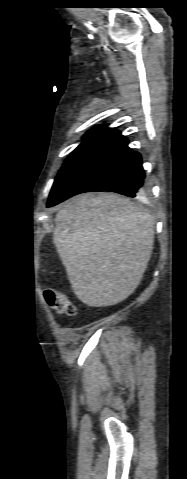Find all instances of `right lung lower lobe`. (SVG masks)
<instances>
[{"instance_id": "obj_1", "label": "right lung lower lobe", "mask_w": 187, "mask_h": 479, "mask_svg": "<svg viewBox=\"0 0 187 479\" xmlns=\"http://www.w3.org/2000/svg\"><path fill=\"white\" fill-rule=\"evenodd\" d=\"M110 191L144 198L148 193L142 158L128 147L125 139L80 174L48 207L84 192Z\"/></svg>"}]
</instances>
